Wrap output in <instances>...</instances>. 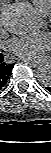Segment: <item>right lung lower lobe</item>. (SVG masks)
Here are the masks:
<instances>
[{"instance_id":"right-lung-lower-lobe-1","label":"right lung lower lobe","mask_w":51,"mask_h":153,"mask_svg":"<svg viewBox=\"0 0 51 153\" xmlns=\"http://www.w3.org/2000/svg\"><path fill=\"white\" fill-rule=\"evenodd\" d=\"M13 66L14 64H6L5 62H3V58L0 54V89L8 81Z\"/></svg>"}]
</instances>
